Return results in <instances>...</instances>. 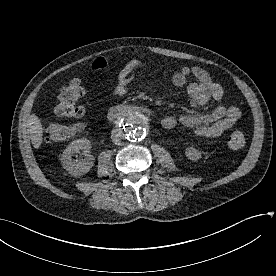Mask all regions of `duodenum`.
<instances>
[{"label": "duodenum", "instance_id": "obj_1", "mask_svg": "<svg viewBox=\"0 0 276 276\" xmlns=\"http://www.w3.org/2000/svg\"><path fill=\"white\" fill-rule=\"evenodd\" d=\"M132 108L128 106H115L108 112V119L110 121H116L131 111Z\"/></svg>", "mask_w": 276, "mask_h": 276}]
</instances>
